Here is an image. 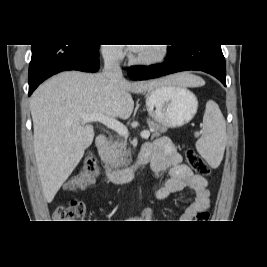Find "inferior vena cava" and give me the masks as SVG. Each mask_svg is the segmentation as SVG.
Returning a JSON list of instances; mask_svg holds the SVG:
<instances>
[{"label":"inferior vena cava","mask_w":267,"mask_h":267,"mask_svg":"<svg viewBox=\"0 0 267 267\" xmlns=\"http://www.w3.org/2000/svg\"><path fill=\"white\" fill-rule=\"evenodd\" d=\"M103 75L110 80H119L123 77L119 64L118 51L115 48L108 49L103 54Z\"/></svg>","instance_id":"1"}]
</instances>
